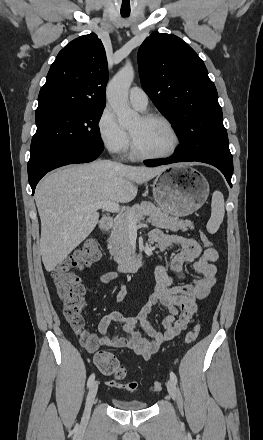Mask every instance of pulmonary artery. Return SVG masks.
I'll list each match as a JSON object with an SVG mask.
<instances>
[{
	"mask_svg": "<svg viewBox=\"0 0 263 440\" xmlns=\"http://www.w3.org/2000/svg\"><path fill=\"white\" fill-rule=\"evenodd\" d=\"M129 102L137 110L143 111L148 104L147 94L139 87H133L129 91Z\"/></svg>",
	"mask_w": 263,
	"mask_h": 440,
	"instance_id": "pulmonary-artery-1",
	"label": "pulmonary artery"
}]
</instances>
